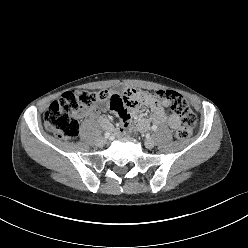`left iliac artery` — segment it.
I'll use <instances>...</instances> for the list:
<instances>
[{
	"instance_id": "left-iliac-artery-1",
	"label": "left iliac artery",
	"mask_w": 248,
	"mask_h": 248,
	"mask_svg": "<svg viewBox=\"0 0 248 248\" xmlns=\"http://www.w3.org/2000/svg\"><path fill=\"white\" fill-rule=\"evenodd\" d=\"M152 130H153V131H156V130H157V126L153 125V126H152Z\"/></svg>"
}]
</instances>
